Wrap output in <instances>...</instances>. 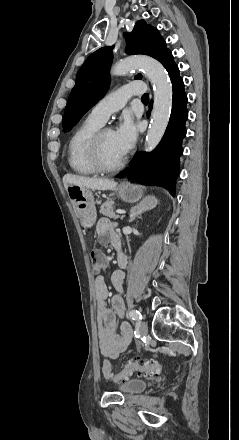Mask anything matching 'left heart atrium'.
Listing matches in <instances>:
<instances>
[{"label": "left heart atrium", "instance_id": "left-heart-atrium-1", "mask_svg": "<svg viewBox=\"0 0 239 440\" xmlns=\"http://www.w3.org/2000/svg\"><path fill=\"white\" fill-rule=\"evenodd\" d=\"M113 133L122 153H128L137 136V127L129 113H124L121 116Z\"/></svg>", "mask_w": 239, "mask_h": 440}]
</instances>
